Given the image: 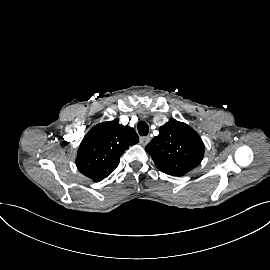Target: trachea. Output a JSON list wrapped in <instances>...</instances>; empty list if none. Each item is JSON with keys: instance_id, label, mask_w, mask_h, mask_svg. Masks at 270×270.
Segmentation results:
<instances>
[{"instance_id": "3493384b", "label": "trachea", "mask_w": 270, "mask_h": 270, "mask_svg": "<svg viewBox=\"0 0 270 270\" xmlns=\"http://www.w3.org/2000/svg\"><path fill=\"white\" fill-rule=\"evenodd\" d=\"M138 133L141 135V136H147L148 135V132H149V126L148 124L145 122V121H140L138 123Z\"/></svg>"}]
</instances>
